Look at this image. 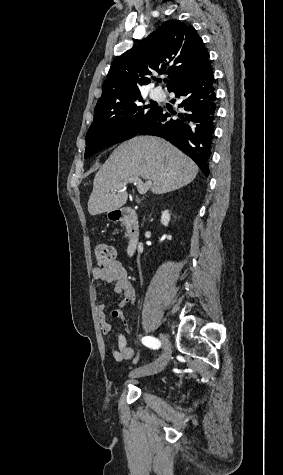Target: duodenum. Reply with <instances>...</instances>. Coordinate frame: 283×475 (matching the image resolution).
Instances as JSON below:
<instances>
[{
    "mask_svg": "<svg viewBox=\"0 0 283 475\" xmlns=\"http://www.w3.org/2000/svg\"><path fill=\"white\" fill-rule=\"evenodd\" d=\"M112 220L122 222L127 228V246L126 253L132 256L139 245L140 229L138 222V215L135 209L131 207H124L113 212Z\"/></svg>",
    "mask_w": 283,
    "mask_h": 475,
    "instance_id": "obj_1",
    "label": "duodenum"
}]
</instances>
